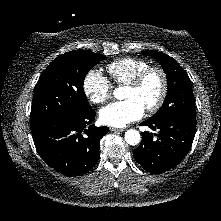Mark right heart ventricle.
Segmentation results:
<instances>
[{
	"mask_svg": "<svg viewBox=\"0 0 221 221\" xmlns=\"http://www.w3.org/2000/svg\"><path fill=\"white\" fill-rule=\"evenodd\" d=\"M149 66V62L144 59L123 57L108 64L107 71L116 84L126 85Z\"/></svg>",
	"mask_w": 221,
	"mask_h": 221,
	"instance_id": "1",
	"label": "right heart ventricle"
}]
</instances>
